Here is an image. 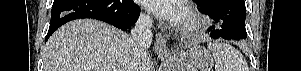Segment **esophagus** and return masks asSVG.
<instances>
[{
  "instance_id": "obj_1",
  "label": "esophagus",
  "mask_w": 301,
  "mask_h": 71,
  "mask_svg": "<svg viewBox=\"0 0 301 71\" xmlns=\"http://www.w3.org/2000/svg\"><path fill=\"white\" fill-rule=\"evenodd\" d=\"M154 50L160 58L168 57L170 54L166 40L160 32H157L155 35Z\"/></svg>"
}]
</instances>
